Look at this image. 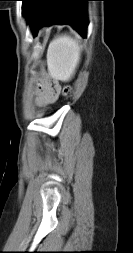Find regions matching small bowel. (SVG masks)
Here are the masks:
<instances>
[{
  "mask_svg": "<svg viewBox=\"0 0 133 253\" xmlns=\"http://www.w3.org/2000/svg\"><path fill=\"white\" fill-rule=\"evenodd\" d=\"M60 94V85L56 81L41 82L38 88L36 102L38 105H48L55 102Z\"/></svg>",
  "mask_w": 133,
  "mask_h": 253,
  "instance_id": "small-bowel-1",
  "label": "small bowel"
}]
</instances>
